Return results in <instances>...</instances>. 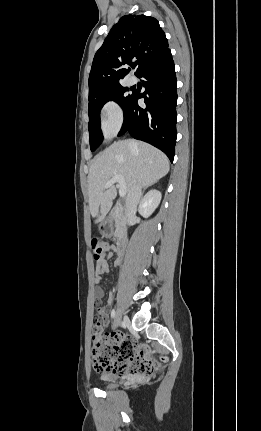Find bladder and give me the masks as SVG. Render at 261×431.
<instances>
[{
    "label": "bladder",
    "mask_w": 261,
    "mask_h": 431,
    "mask_svg": "<svg viewBox=\"0 0 261 431\" xmlns=\"http://www.w3.org/2000/svg\"><path fill=\"white\" fill-rule=\"evenodd\" d=\"M101 385L105 389H112L118 385V381L116 377L104 376L101 378Z\"/></svg>",
    "instance_id": "31cf9c89"
}]
</instances>
